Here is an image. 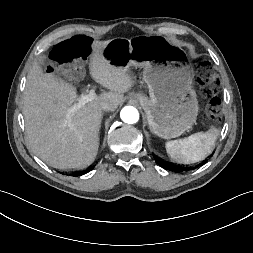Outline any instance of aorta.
<instances>
[{
  "instance_id": "762f6f07",
  "label": "aorta",
  "mask_w": 253,
  "mask_h": 253,
  "mask_svg": "<svg viewBox=\"0 0 253 253\" xmlns=\"http://www.w3.org/2000/svg\"><path fill=\"white\" fill-rule=\"evenodd\" d=\"M120 117L123 122L128 124L137 123L139 120V112L133 106H126L120 112Z\"/></svg>"
}]
</instances>
